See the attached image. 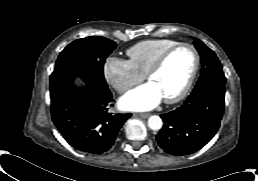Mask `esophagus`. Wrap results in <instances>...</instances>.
<instances>
[{"instance_id": "obj_1", "label": "esophagus", "mask_w": 258, "mask_h": 181, "mask_svg": "<svg viewBox=\"0 0 258 181\" xmlns=\"http://www.w3.org/2000/svg\"><path fill=\"white\" fill-rule=\"evenodd\" d=\"M139 116L141 118H148L150 116V114L149 113H140Z\"/></svg>"}]
</instances>
